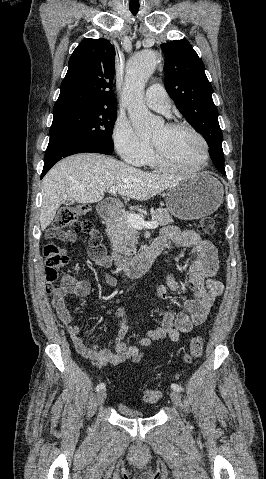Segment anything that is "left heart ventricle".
I'll return each mask as SVG.
<instances>
[{
    "label": "left heart ventricle",
    "mask_w": 266,
    "mask_h": 479,
    "mask_svg": "<svg viewBox=\"0 0 266 479\" xmlns=\"http://www.w3.org/2000/svg\"><path fill=\"white\" fill-rule=\"evenodd\" d=\"M151 142L163 159L172 165L194 167L201 162L202 146L189 131L162 127L154 132Z\"/></svg>",
    "instance_id": "obj_1"
}]
</instances>
